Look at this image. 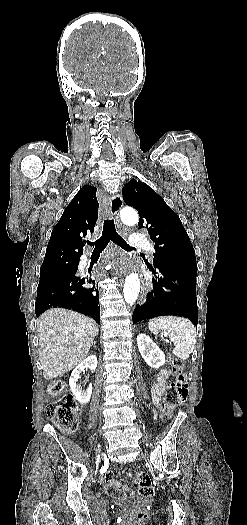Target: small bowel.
<instances>
[{"instance_id":"c3829d8e","label":"small bowel","mask_w":247,"mask_h":525,"mask_svg":"<svg viewBox=\"0 0 247 525\" xmlns=\"http://www.w3.org/2000/svg\"><path fill=\"white\" fill-rule=\"evenodd\" d=\"M172 375L171 370H162L159 375L157 376L154 388L152 390V400L155 404H158L161 400L162 395L165 392L166 389V380ZM106 485L110 487V491L112 493H117L119 491V487L121 485V482L119 479L114 478V475L112 473H107L105 475ZM124 491L128 495H132L133 492L128 489L127 487H123ZM114 501L116 503H121L123 501V496L121 494H116L114 496Z\"/></svg>"}]
</instances>
